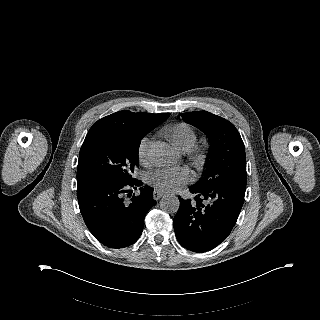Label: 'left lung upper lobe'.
Listing matches in <instances>:
<instances>
[{
  "instance_id": "5c2ea615",
  "label": "left lung upper lobe",
  "mask_w": 320,
  "mask_h": 320,
  "mask_svg": "<svg viewBox=\"0 0 320 320\" xmlns=\"http://www.w3.org/2000/svg\"><path fill=\"white\" fill-rule=\"evenodd\" d=\"M189 123L205 133L212 153L202 179L193 186L212 189L229 181L247 182L244 143L235 126L226 119L206 111L181 114Z\"/></svg>"
}]
</instances>
